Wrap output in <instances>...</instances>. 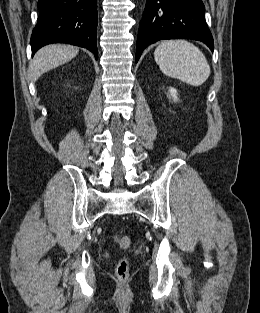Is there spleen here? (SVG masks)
<instances>
[{"label":"spleen","instance_id":"obj_1","mask_svg":"<svg viewBox=\"0 0 260 313\" xmlns=\"http://www.w3.org/2000/svg\"><path fill=\"white\" fill-rule=\"evenodd\" d=\"M154 58L165 75L191 86L202 85L210 75L204 54L186 40L161 42L154 51Z\"/></svg>","mask_w":260,"mask_h":313}]
</instances>
